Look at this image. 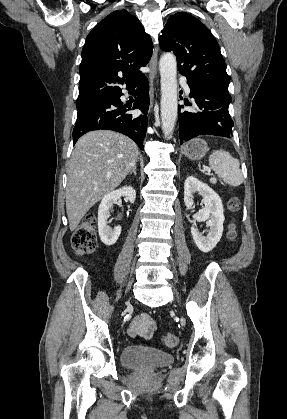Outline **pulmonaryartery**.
Instances as JSON below:
<instances>
[{
	"label": "pulmonary artery",
	"mask_w": 287,
	"mask_h": 419,
	"mask_svg": "<svg viewBox=\"0 0 287 419\" xmlns=\"http://www.w3.org/2000/svg\"><path fill=\"white\" fill-rule=\"evenodd\" d=\"M182 86H183L185 92L187 94H190V88H189L188 84L184 80H182Z\"/></svg>",
	"instance_id": "pulmonary-artery-1"
}]
</instances>
